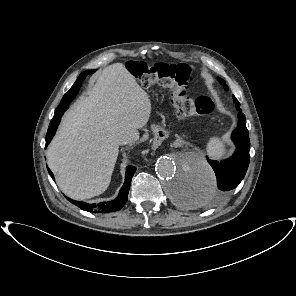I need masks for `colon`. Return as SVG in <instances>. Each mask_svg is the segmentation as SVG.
Masks as SVG:
<instances>
[{"label": "colon", "mask_w": 296, "mask_h": 296, "mask_svg": "<svg viewBox=\"0 0 296 296\" xmlns=\"http://www.w3.org/2000/svg\"><path fill=\"white\" fill-rule=\"evenodd\" d=\"M126 67L143 86L157 84L169 88L172 91V101L177 115L181 118L208 115L214 109V103L210 98L188 96L187 89L193 79L187 65L129 61Z\"/></svg>", "instance_id": "5ec220e1"}]
</instances>
